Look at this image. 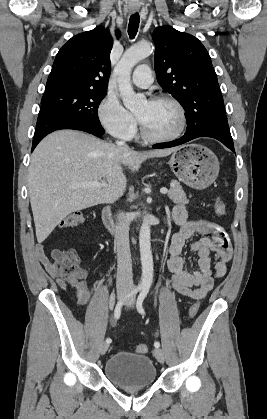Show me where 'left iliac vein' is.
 <instances>
[{
  "label": "left iliac vein",
  "mask_w": 267,
  "mask_h": 419,
  "mask_svg": "<svg viewBox=\"0 0 267 419\" xmlns=\"http://www.w3.org/2000/svg\"><path fill=\"white\" fill-rule=\"evenodd\" d=\"M134 301H135V298H134V297H132V298L128 301L127 305H131V304H133V303H134ZM153 354H154V356H155V358L157 359V361H158V362H160V363H164L165 357H164V353H163L162 349H160V348H155V349H154V351H153Z\"/></svg>",
  "instance_id": "left-iliac-vein-1"
}]
</instances>
